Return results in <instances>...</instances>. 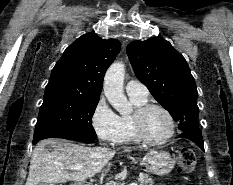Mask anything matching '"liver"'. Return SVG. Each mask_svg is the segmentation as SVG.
<instances>
[{"mask_svg":"<svg viewBox=\"0 0 233 185\" xmlns=\"http://www.w3.org/2000/svg\"><path fill=\"white\" fill-rule=\"evenodd\" d=\"M47 145H51L53 149H46ZM115 153L116 151L110 148H87L59 139L42 140L33 150L25 185L62 184L66 181H74V185H81L95 174L107 173L110 167L109 161ZM77 164L82 165L83 168L71 169Z\"/></svg>","mask_w":233,"mask_h":185,"instance_id":"liver-1","label":"liver"}]
</instances>
